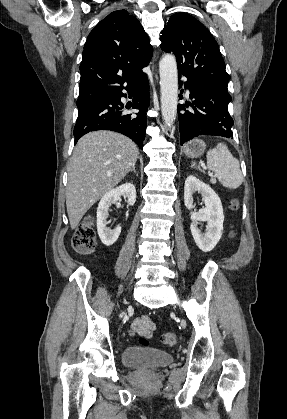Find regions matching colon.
Segmentation results:
<instances>
[{
    "mask_svg": "<svg viewBox=\"0 0 287 419\" xmlns=\"http://www.w3.org/2000/svg\"><path fill=\"white\" fill-rule=\"evenodd\" d=\"M232 207H236L234 202L232 203ZM72 244L78 254H89L94 250L96 246V237L93 229L92 217H87L86 220L78 226L72 239ZM161 341L163 345L167 347H174L178 342V338L175 333L167 332L163 334ZM139 343L142 346H148V338L145 336L140 337Z\"/></svg>",
    "mask_w": 287,
    "mask_h": 419,
    "instance_id": "5ec220e1",
    "label": "colon"
}]
</instances>
